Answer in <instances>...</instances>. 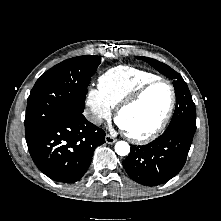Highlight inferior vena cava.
Returning a JSON list of instances; mask_svg holds the SVG:
<instances>
[{"label": "inferior vena cava", "mask_w": 221, "mask_h": 221, "mask_svg": "<svg viewBox=\"0 0 221 221\" xmlns=\"http://www.w3.org/2000/svg\"><path fill=\"white\" fill-rule=\"evenodd\" d=\"M88 119L96 125H100L102 123V119L95 115H88Z\"/></svg>", "instance_id": "1"}]
</instances>
